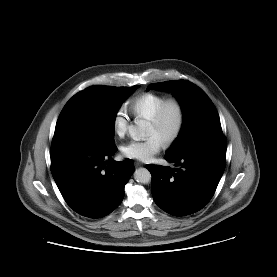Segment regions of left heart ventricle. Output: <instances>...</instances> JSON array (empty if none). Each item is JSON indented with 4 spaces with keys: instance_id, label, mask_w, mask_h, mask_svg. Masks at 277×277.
<instances>
[{
    "instance_id": "1",
    "label": "left heart ventricle",
    "mask_w": 277,
    "mask_h": 277,
    "mask_svg": "<svg viewBox=\"0 0 277 277\" xmlns=\"http://www.w3.org/2000/svg\"><path fill=\"white\" fill-rule=\"evenodd\" d=\"M177 123V111L175 107H170L167 110L165 119L160 127H155L151 123H149L147 135H156L159 137L162 141L166 139L167 136H169L172 131L174 130Z\"/></svg>"
}]
</instances>
